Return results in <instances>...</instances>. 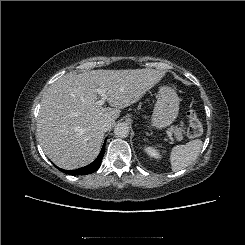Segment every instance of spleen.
<instances>
[{
  "mask_svg": "<svg viewBox=\"0 0 245 245\" xmlns=\"http://www.w3.org/2000/svg\"><path fill=\"white\" fill-rule=\"evenodd\" d=\"M202 145L203 143L200 139H195L184 145L174 146L170 152L172 170L179 171L195 161Z\"/></svg>",
  "mask_w": 245,
  "mask_h": 245,
  "instance_id": "1",
  "label": "spleen"
}]
</instances>
